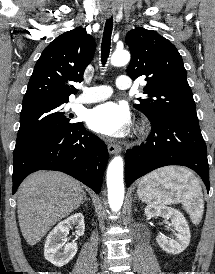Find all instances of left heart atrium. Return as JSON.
Masks as SVG:
<instances>
[{
    "label": "left heart atrium",
    "instance_id": "obj_1",
    "mask_svg": "<svg viewBox=\"0 0 215 274\" xmlns=\"http://www.w3.org/2000/svg\"><path fill=\"white\" fill-rule=\"evenodd\" d=\"M87 123L98 133L109 137H122L130 129L131 116L126 106L106 102L89 111Z\"/></svg>",
    "mask_w": 215,
    "mask_h": 274
}]
</instances>
